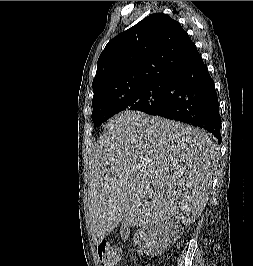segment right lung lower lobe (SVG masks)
Wrapping results in <instances>:
<instances>
[{"mask_svg": "<svg viewBox=\"0 0 253 266\" xmlns=\"http://www.w3.org/2000/svg\"><path fill=\"white\" fill-rule=\"evenodd\" d=\"M151 115L198 126L221 143L218 97L201 56L168 77L163 105Z\"/></svg>", "mask_w": 253, "mask_h": 266, "instance_id": "1", "label": "right lung lower lobe"}]
</instances>
